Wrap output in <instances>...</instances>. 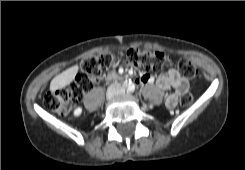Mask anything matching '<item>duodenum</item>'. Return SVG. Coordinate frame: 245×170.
Returning <instances> with one entry per match:
<instances>
[{
  "label": "duodenum",
  "instance_id": "1",
  "mask_svg": "<svg viewBox=\"0 0 245 170\" xmlns=\"http://www.w3.org/2000/svg\"><path fill=\"white\" fill-rule=\"evenodd\" d=\"M108 79H109V80H111V81H114V80H116V79H117V76L112 75V76H109V77H108Z\"/></svg>",
  "mask_w": 245,
  "mask_h": 170
}]
</instances>
